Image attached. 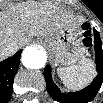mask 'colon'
<instances>
[{
    "mask_svg": "<svg viewBox=\"0 0 103 103\" xmlns=\"http://www.w3.org/2000/svg\"><path fill=\"white\" fill-rule=\"evenodd\" d=\"M83 29L85 31V33H84V42H85V44H90L91 40H90L89 32H88L89 25L88 24H84L83 25Z\"/></svg>",
    "mask_w": 103,
    "mask_h": 103,
    "instance_id": "colon-1",
    "label": "colon"
}]
</instances>
